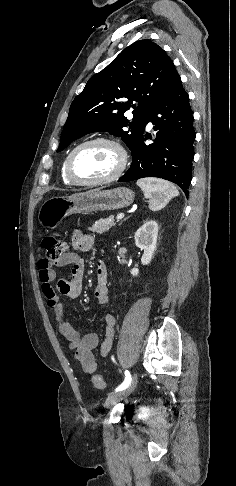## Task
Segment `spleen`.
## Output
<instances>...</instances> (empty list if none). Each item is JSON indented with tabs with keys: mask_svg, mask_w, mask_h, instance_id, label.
<instances>
[{
	"mask_svg": "<svg viewBox=\"0 0 236 486\" xmlns=\"http://www.w3.org/2000/svg\"><path fill=\"white\" fill-rule=\"evenodd\" d=\"M144 196L149 199V208L158 211L179 195L177 188L170 182L158 178H142L137 181Z\"/></svg>",
	"mask_w": 236,
	"mask_h": 486,
	"instance_id": "1",
	"label": "spleen"
}]
</instances>
